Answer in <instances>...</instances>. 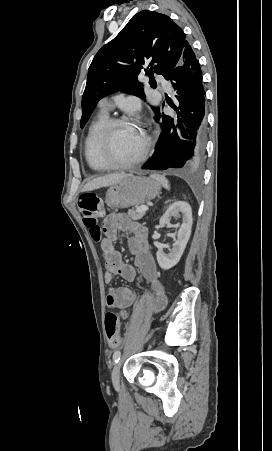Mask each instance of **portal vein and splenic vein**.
Masks as SVG:
<instances>
[{"instance_id": "obj_1", "label": "portal vein and splenic vein", "mask_w": 272, "mask_h": 451, "mask_svg": "<svg viewBox=\"0 0 272 451\" xmlns=\"http://www.w3.org/2000/svg\"><path fill=\"white\" fill-rule=\"evenodd\" d=\"M147 210H149L148 206H139L136 212H147Z\"/></svg>"}]
</instances>
